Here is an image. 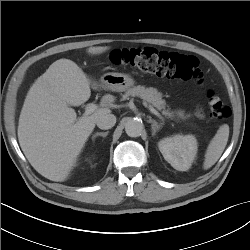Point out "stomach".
Instances as JSON below:
<instances>
[{
    "label": "stomach",
    "mask_w": 250,
    "mask_h": 250,
    "mask_svg": "<svg viewBox=\"0 0 250 250\" xmlns=\"http://www.w3.org/2000/svg\"><path fill=\"white\" fill-rule=\"evenodd\" d=\"M134 84V79L128 74L112 72L106 73L100 78V85L102 88L116 92L129 90Z\"/></svg>",
    "instance_id": "stomach-1"
}]
</instances>
